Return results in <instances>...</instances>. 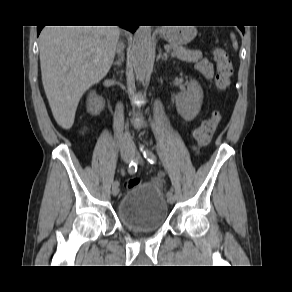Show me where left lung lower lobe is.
Here are the masks:
<instances>
[{"label": "left lung lower lobe", "mask_w": 292, "mask_h": 292, "mask_svg": "<svg viewBox=\"0 0 292 292\" xmlns=\"http://www.w3.org/2000/svg\"><path fill=\"white\" fill-rule=\"evenodd\" d=\"M239 28L241 29V31L244 33V27L243 26H239Z\"/></svg>", "instance_id": "1"}]
</instances>
